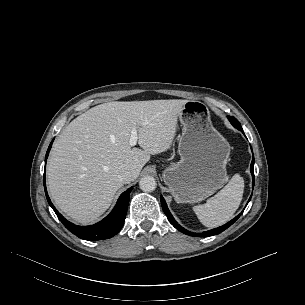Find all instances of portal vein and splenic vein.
<instances>
[{
    "instance_id": "18ae733b",
    "label": "portal vein and splenic vein",
    "mask_w": 305,
    "mask_h": 305,
    "mask_svg": "<svg viewBox=\"0 0 305 305\" xmlns=\"http://www.w3.org/2000/svg\"><path fill=\"white\" fill-rule=\"evenodd\" d=\"M137 140H138L137 130L136 128H133L131 130V136L129 140L130 146H135L137 144Z\"/></svg>"
}]
</instances>
